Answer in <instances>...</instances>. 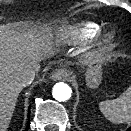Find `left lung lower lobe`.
<instances>
[{
  "label": "left lung lower lobe",
  "instance_id": "left-lung-lower-lobe-1",
  "mask_svg": "<svg viewBox=\"0 0 131 131\" xmlns=\"http://www.w3.org/2000/svg\"><path fill=\"white\" fill-rule=\"evenodd\" d=\"M126 131H131V127H129Z\"/></svg>",
  "mask_w": 131,
  "mask_h": 131
}]
</instances>
